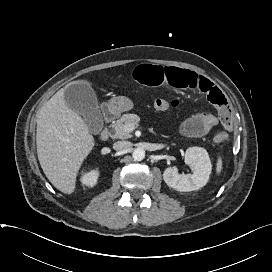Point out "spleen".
Instances as JSON below:
<instances>
[{
	"label": "spleen",
	"mask_w": 272,
	"mask_h": 272,
	"mask_svg": "<svg viewBox=\"0 0 272 272\" xmlns=\"http://www.w3.org/2000/svg\"><path fill=\"white\" fill-rule=\"evenodd\" d=\"M221 169H222V159L221 157H219L217 161V167H216L217 173H220Z\"/></svg>",
	"instance_id": "1"
}]
</instances>
